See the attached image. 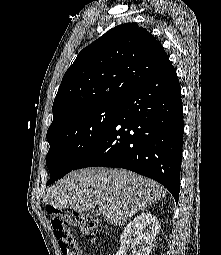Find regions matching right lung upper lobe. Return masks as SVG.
<instances>
[{
	"instance_id": "right-lung-upper-lobe-1",
	"label": "right lung upper lobe",
	"mask_w": 221,
	"mask_h": 255,
	"mask_svg": "<svg viewBox=\"0 0 221 255\" xmlns=\"http://www.w3.org/2000/svg\"><path fill=\"white\" fill-rule=\"evenodd\" d=\"M168 62L161 43L145 28L136 23L112 28L85 47L64 74L49 128L79 110L121 103Z\"/></svg>"
}]
</instances>
